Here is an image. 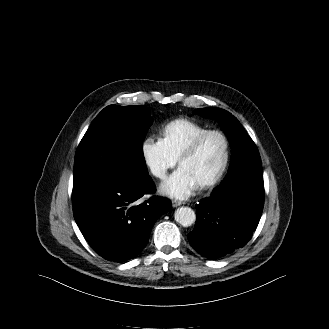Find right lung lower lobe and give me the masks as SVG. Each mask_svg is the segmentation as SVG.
Returning <instances> with one entry per match:
<instances>
[{
    "mask_svg": "<svg viewBox=\"0 0 329 329\" xmlns=\"http://www.w3.org/2000/svg\"><path fill=\"white\" fill-rule=\"evenodd\" d=\"M150 176L132 184L111 176H93L73 185L74 219L91 247L109 261L136 257L146 246L156 220L171 209L168 199L153 196Z\"/></svg>",
    "mask_w": 329,
    "mask_h": 329,
    "instance_id": "right-lung-lower-lobe-1",
    "label": "right lung lower lobe"
}]
</instances>
